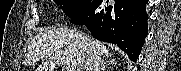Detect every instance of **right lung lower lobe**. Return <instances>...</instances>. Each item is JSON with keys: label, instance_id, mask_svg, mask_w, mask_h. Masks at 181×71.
<instances>
[{"label": "right lung lower lobe", "instance_id": "right-lung-lower-lobe-1", "mask_svg": "<svg viewBox=\"0 0 181 71\" xmlns=\"http://www.w3.org/2000/svg\"><path fill=\"white\" fill-rule=\"evenodd\" d=\"M98 0L96 5L71 22L85 25L95 39L116 44L137 61L148 33L146 3L148 0Z\"/></svg>", "mask_w": 181, "mask_h": 71}]
</instances>
